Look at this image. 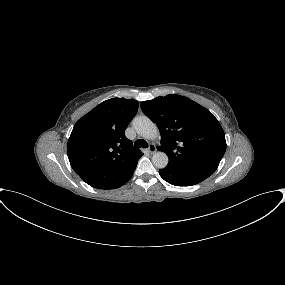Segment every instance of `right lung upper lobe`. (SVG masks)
I'll use <instances>...</instances> for the list:
<instances>
[{
	"instance_id": "obj_1",
	"label": "right lung upper lobe",
	"mask_w": 285,
	"mask_h": 285,
	"mask_svg": "<svg viewBox=\"0 0 285 285\" xmlns=\"http://www.w3.org/2000/svg\"><path fill=\"white\" fill-rule=\"evenodd\" d=\"M138 110L134 99L112 98L96 106L75 124L68 140L73 170L94 188L114 189L133 175L143 155L125 137Z\"/></svg>"
}]
</instances>
